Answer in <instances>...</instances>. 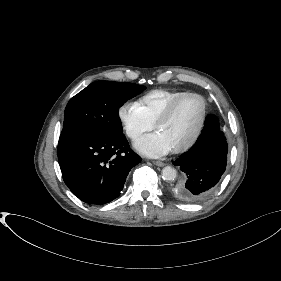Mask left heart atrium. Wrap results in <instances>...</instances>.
Wrapping results in <instances>:
<instances>
[{"mask_svg":"<svg viewBox=\"0 0 281 281\" xmlns=\"http://www.w3.org/2000/svg\"><path fill=\"white\" fill-rule=\"evenodd\" d=\"M136 149L150 157H160L167 154L171 148L158 132L146 135L135 143Z\"/></svg>","mask_w":281,"mask_h":281,"instance_id":"obj_1","label":"left heart atrium"}]
</instances>
